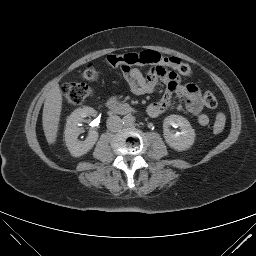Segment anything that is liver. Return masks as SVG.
<instances>
[{
  "label": "liver",
  "mask_w": 256,
  "mask_h": 256,
  "mask_svg": "<svg viewBox=\"0 0 256 256\" xmlns=\"http://www.w3.org/2000/svg\"><path fill=\"white\" fill-rule=\"evenodd\" d=\"M62 110V94L58 84L48 92L44 102L42 125L49 145L55 144Z\"/></svg>",
  "instance_id": "1"
}]
</instances>
